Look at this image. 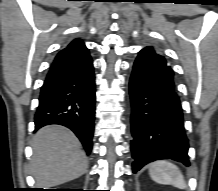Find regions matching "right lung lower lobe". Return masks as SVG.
Here are the masks:
<instances>
[{"instance_id":"obj_1","label":"right lung lower lobe","mask_w":218,"mask_h":191,"mask_svg":"<svg viewBox=\"0 0 218 191\" xmlns=\"http://www.w3.org/2000/svg\"><path fill=\"white\" fill-rule=\"evenodd\" d=\"M95 119V76L88 49L73 40L56 55L41 87L35 130L49 124L70 128L90 155Z\"/></svg>"}]
</instances>
